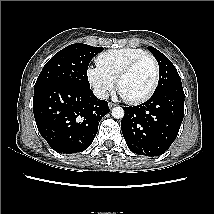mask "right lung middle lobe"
Returning <instances> with one entry per match:
<instances>
[{"mask_svg": "<svg viewBox=\"0 0 214 214\" xmlns=\"http://www.w3.org/2000/svg\"><path fill=\"white\" fill-rule=\"evenodd\" d=\"M102 47L76 43L57 52L43 67L34 88L50 82H62L90 88L87 69L92 58Z\"/></svg>", "mask_w": 214, "mask_h": 214, "instance_id": "dd1d6c3e", "label": "right lung middle lobe"}]
</instances>
